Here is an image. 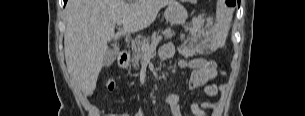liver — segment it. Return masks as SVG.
Masks as SVG:
<instances>
[{"instance_id": "6515ba94", "label": "liver", "mask_w": 305, "mask_h": 116, "mask_svg": "<svg viewBox=\"0 0 305 116\" xmlns=\"http://www.w3.org/2000/svg\"><path fill=\"white\" fill-rule=\"evenodd\" d=\"M173 0H68L64 51L71 78L85 92L96 88L108 43L149 27ZM123 28L115 34V25Z\"/></svg>"}]
</instances>
